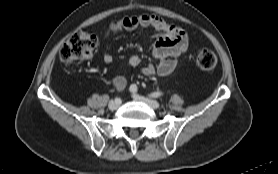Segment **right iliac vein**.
I'll use <instances>...</instances> for the list:
<instances>
[{
  "label": "right iliac vein",
  "instance_id": "63e3f726",
  "mask_svg": "<svg viewBox=\"0 0 278 174\" xmlns=\"http://www.w3.org/2000/svg\"><path fill=\"white\" fill-rule=\"evenodd\" d=\"M120 103H121V102H117V101H113V100H112V101L109 102L108 108H109L110 110H116V109L119 108Z\"/></svg>",
  "mask_w": 278,
  "mask_h": 174
}]
</instances>
